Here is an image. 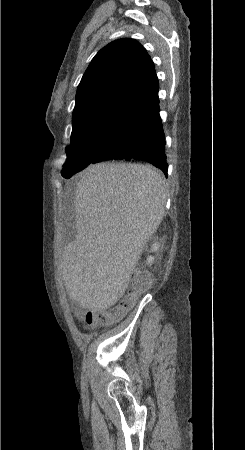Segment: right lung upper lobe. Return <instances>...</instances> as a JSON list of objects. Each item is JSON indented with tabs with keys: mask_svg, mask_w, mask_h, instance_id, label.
Here are the masks:
<instances>
[{
	"mask_svg": "<svg viewBox=\"0 0 245 450\" xmlns=\"http://www.w3.org/2000/svg\"><path fill=\"white\" fill-rule=\"evenodd\" d=\"M158 78L146 50L134 39H119L92 59L76 92L73 116L97 105L142 112L158 99Z\"/></svg>",
	"mask_w": 245,
	"mask_h": 450,
	"instance_id": "1",
	"label": "right lung upper lobe"
}]
</instances>
